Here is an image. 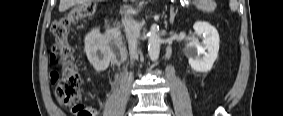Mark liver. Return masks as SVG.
<instances>
[{
    "mask_svg": "<svg viewBox=\"0 0 283 116\" xmlns=\"http://www.w3.org/2000/svg\"><path fill=\"white\" fill-rule=\"evenodd\" d=\"M80 0H60L59 11L64 12L72 6L78 4Z\"/></svg>",
    "mask_w": 283,
    "mask_h": 116,
    "instance_id": "obj_1",
    "label": "liver"
}]
</instances>
